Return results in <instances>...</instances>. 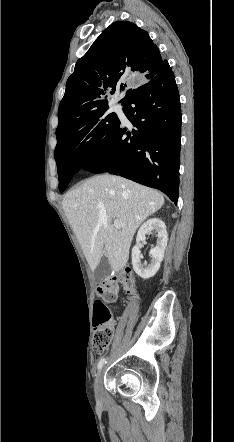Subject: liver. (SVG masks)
Segmentation results:
<instances>
[{"label": "liver", "instance_id": "6515ba94", "mask_svg": "<svg viewBox=\"0 0 234 442\" xmlns=\"http://www.w3.org/2000/svg\"><path fill=\"white\" fill-rule=\"evenodd\" d=\"M163 204L164 197L159 192L104 174L68 192L62 207L91 270L105 256L110 267L119 271L128 261L136 230ZM115 219L124 225L116 228L112 223Z\"/></svg>", "mask_w": 234, "mask_h": 442}]
</instances>
